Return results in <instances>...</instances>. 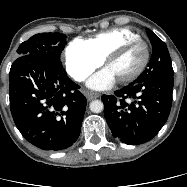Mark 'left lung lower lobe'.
Here are the masks:
<instances>
[{"instance_id":"obj_1","label":"left lung lower lobe","mask_w":187,"mask_h":187,"mask_svg":"<svg viewBox=\"0 0 187 187\" xmlns=\"http://www.w3.org/2000/svg\"><path fill=\"white\" fill-rule=\"evenodd\" d=\"M173 77L130 84L102 95L104 115L112 135L138 145L151 140L164 126L172 105Z\"/></svg>"}]
</instances>
